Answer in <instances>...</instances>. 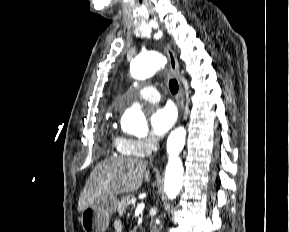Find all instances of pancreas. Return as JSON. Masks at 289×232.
Here are the masks:
<instances>
[{"label": "pancreas", "instance_id": "obj_1", "mask_svg": "<svg viewBox=\"0 0 289 232\" xmlns=\"http://www.w3.org/2000/svg\"><path fill=\"white\" fill-rule=\"evenodd\" d=\"M133 199V196L126 195L121 198V200L118 202L117 212L121 216L123 213H125V210L129 207L131 204V200Z\"/></svg>", "mask_w": 289, "mask_h": 232}]
</instances>
